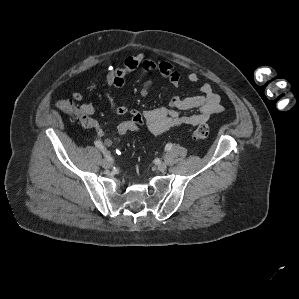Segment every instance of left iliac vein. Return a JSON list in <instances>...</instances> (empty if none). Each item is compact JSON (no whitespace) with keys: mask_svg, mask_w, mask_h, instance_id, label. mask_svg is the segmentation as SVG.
<instances>
[{"mask_svg":"<svg viewBox=\"0 0 299 299\" xmlns=\"http://www.w3.org/2000/svg\"><path fill=\"white\" fill-rule=\"evenodd\" d=\"M157 166H158V169H159L160 171H165L166 168H167V165H166L165 162H159V163L157 164Z\"/></svg>","mask_w":299,"mask_h":299,"instance_id":"obj_1","label":"left iliac vein"}]
</instances>
